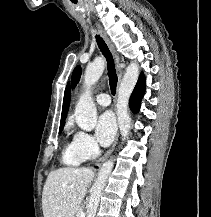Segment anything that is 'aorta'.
<instances>
[{"mask_svg":"<svg viewBox=\"0 0 211 217\" xmlns=\"http://www.w3.org/2000/svg\"><path fill=\"white\" fill-rule=\"evenodd\" d=\"M105 68V60L101 57L96 58L89 64L84 73L85 92L80 97L75 108V120L77 125L85 130L91 131L97 123V110L91 97L92 86L100 79ZM139 76V66L131 62L120 83L117 98V118L123 140L128 136L131 128V118L128 113V102L130 95L136 85ZM114 166L112 159L106 161L99 170L97 180L95 181L89 204L87 208V217H95L101 192L106 184L107 178Z\"/></svg>","mask_w":211,"mask_h":217,"instance_id":"762f6f07","label":"aorta"}]
</instances>
